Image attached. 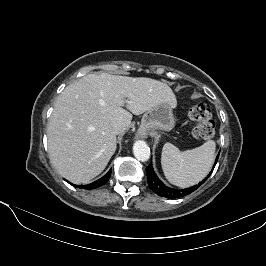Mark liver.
<instances>
[{"mask_svg":"<svg viewBox=\"0 0 266 266\" xmlns=\"http://www.w3.org/2000/svg\"><path fill=\"white\" fill-rule=\"evenodd\" d=\"M177 100L165 83L146 77L88 74L68 85L57 98L48 122L52 165L72 183L99 175L116 151L111 123L121 119L129 128L134 115L160 103ZM128 108H123L125 106Z\"/></svg>","mask_w":266,"mask_h":266,"instance_id":"6515ba94","label":"liver"}]
</instances>
